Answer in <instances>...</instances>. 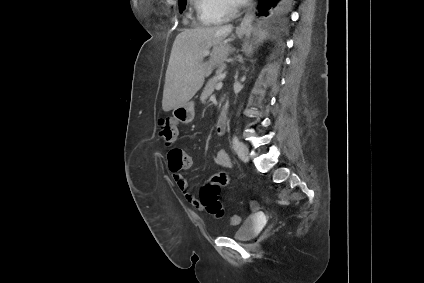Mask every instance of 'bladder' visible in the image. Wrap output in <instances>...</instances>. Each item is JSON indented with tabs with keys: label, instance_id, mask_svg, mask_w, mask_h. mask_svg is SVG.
<instances>
[{
	"label": "bladder",
	"instance_id": "bladder-1",
	"mask_svg": "<svg viewBox=\"0 0 424 283\" xmlns=\"http://www.w3.org/2000/svg\"><path fill=\"white\" fill-rule=\"evenodd\" d=\"M261 226L262 224L257 217L250 216L233 233L232 238L237 241H249L257 236Z\"/></svg>",
	"mask_w": 424,
	"mask_h": 283
}]
</instances>
